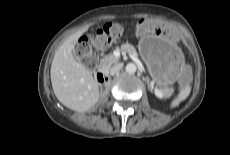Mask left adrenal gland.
Listing matches in <instances>:
<instances>
[{"label": "left adrenal gland", "instance_id": "1", "mask_svg": "<svg viewBox=\"0 0 230 155\" xmlns=\"http://www.w3.org/2000/svg\"><path fill=\"white\" fill-rule=\"evenodd\" d=\"M146 80H147V83H148V88L152 91V89L150 88V85H149V80H148V78H146Z\"/></svg>", "mask_w": 230, "mask_h": 155}]
</instances>
